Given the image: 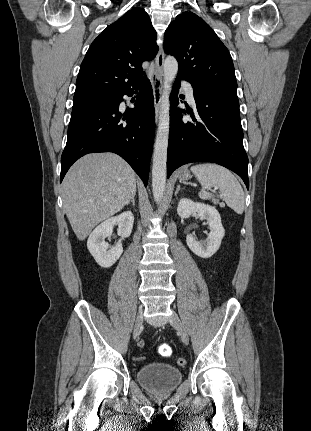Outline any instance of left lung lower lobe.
Segmentation results:
<instances>
[{"instance_id":"left-lung-lower-lobe-1","label":"left lung lower lobe","mask_w":311,"mask_h":431,"mask_svg":"<svg viewBox=\"0 0 311 431\" xmlns=\"http://www.w3.org/2000/svg\"><path fill=\"white\" fill-rule=\"evenodd\" d=\"M180 78L177 76L171 94L167 177L183 164L208 161L237 173L249 189L237 92L193 87L199 117L190 110L192 120H186L176 108Z\"/></svg>"}]
</instances>
